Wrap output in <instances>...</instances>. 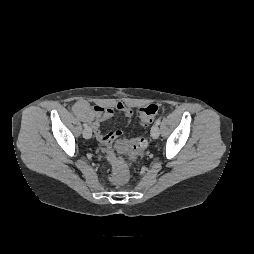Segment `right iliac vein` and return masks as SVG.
Returning <instances> with one entry per match:
<instances>
[{
	"instance_id": "obj_1",
	"label": "right iliac vein",
	"mask_w": 254,
	"mask_h": 254,
	"mask_svg": "<svg viewBox=\"0 0 254 254\" xmlns=\"http://www.w3.org/2000/svg\"><path fill=\"white\" fill-rule=\"evenodd\" d=\"M83 136H84V138H86V139L91 138V136H92V130H91L90 127H86V128L83 130Z\"/></svg>"
}]
</instances>
